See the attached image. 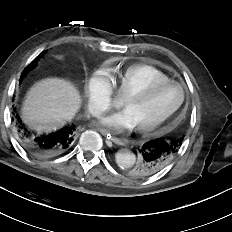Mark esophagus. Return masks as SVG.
Masks as SVG:
<instances>
[{
  "label": "esophagus",
  "instance_id": "esophagus-1",
  "mask_svg": "<svg viewBox=\"0 0 232 232\" xmlns=\"http://www.w3.org/2000/svg\"><path fill=\"white\" fill-rule=\"evenodd\" d=\"M97 131H99L103 136H105L107 140L112 141L116 144H121V140L112 136L106 129L99 127L97 128Z\"/></svg>",
  "mask_w": 232,
  "mask_h": 232
}]
</instances>
